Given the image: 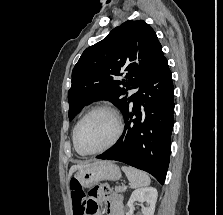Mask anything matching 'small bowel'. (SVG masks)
<instances>
[{
	"mask_svg": "<svg viewBox=\"0 0 223 215\" xmlns=\"http://www.w3.org/2000/svg\"><path fill=\"white\" fill-rule=\"evenodd\" d=\"M89 211L86 215H100L98 204L103 203L107 215H124L123 198L113 193L106 185L94 186L89 193Z\"/></svg>",
	"mask_w": 223,
	"mask_h": 215,
	"instance_id": "obj_1",
	"label": "small bowel"
}]
</instances>
